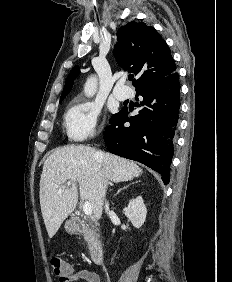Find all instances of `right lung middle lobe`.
Returning a JSON list of instances; mask_svg holds the SVG:
<instances>
[{
	"mask_svg": "<svg viewBox=\"0 0 232 282\" xmlns=\"http://www.w3.org/2000/svg\"><path fill=\"white\" fill-rule=\"evenodd\" d=\"M64 98L60 99V102L63 100Z\"/></svg>",
	"mask_w": 232,
	"mask_h": 282,
	"instance_id": "right-lung-middle-lobe-1",
	"label": "right lung middle lobe"
}]
</instances>
